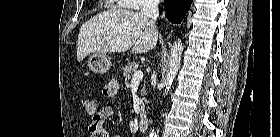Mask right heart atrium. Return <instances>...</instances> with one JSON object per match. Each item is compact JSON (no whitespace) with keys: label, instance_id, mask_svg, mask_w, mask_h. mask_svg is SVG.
Returning <instances> with one entry per match:
<instances>
[{"label":"right heart atrium","instance_id":"right-heart-atrium-1","mask_svg":"<svg viewBox=\"0 0 280 137\" xmlns=\"http://www.w3.org/2000/svg\"><path fill=\"white\" fill-rule=\"evenodd\" d=\"M134 8L144 9L151 6V0H133Z\"/></svg>","mask_w":280,"mask_h":137}]
</instances>
